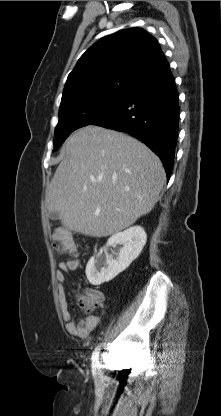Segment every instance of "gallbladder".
Returning a JSON list of instances; mask_svg holds the SVG:
<instances>
[{
	"mask_svg": "<svg viewBox=\"0 0 221 416\" xmlns=\"http://www.w3.org/2000/svg\"><path fill=\"white\" fill-rule=\"evenodd\" d=\"M49 218L51 220H58L59 219V214L57 212H49Z\"/></svg>",
	"mask_w": 221,
	"mask_h": 416,
	"instance_id": "obj_1",
	"label": "gallbladder"
}]
</instances>
